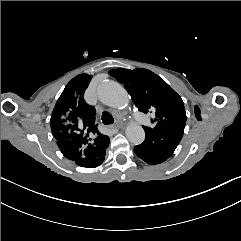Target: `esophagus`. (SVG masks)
Listing matches in <instances>:
<instances>
[{"mask_svg": "<svg viewBox=\"0 0 241 241\" xmlns=\"http://www.w3.org/2000/svg\"><path fill=\"white\" fill-rule=\"evenodd\" d=\"M123 126L122 123H117L113 126V128H121Z\"/></svg>", "mask_w": 241, "mask_h": 241, "instance_id": "esophagus-1", "label": "esophagus"}]
</instances>
